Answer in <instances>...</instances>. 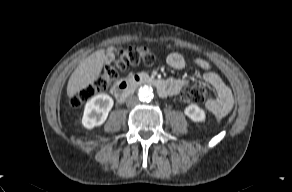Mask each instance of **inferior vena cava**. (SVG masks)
Listing matches in <instances>:
<instances>
[{"mask_svg": "<svg viewBox=\"0 0 292 192\" xmlns=\"http://www.w3.org/2000/svg\"><path fill=\"white\" fill-rule=\"evenodd\" d=\"M127 106H136L139 104V99L136 96H129L126 100Z\"/></svg>", "mask_w": 292, "mask_h": 192, "instance_id": "obj_1", "label": "inferior vena cava"}]
</instances>
